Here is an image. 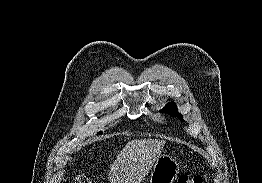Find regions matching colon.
<instances>
[{"label":"colon","mask_w":262,"mask_h":183,"mask_svg":"<svg viewBox=\"0 0 262 183\" xmlns=\"http://www.w3.org/2000/svg\"><path fill=\"white\" fill-rule=\"evenodd\" d=\"M72 183H93V181L87 176L78 175ZM177 183H203V177L197 174H184L179 177Z\"/></svg>","instance_id":"1"}]
</instances>
